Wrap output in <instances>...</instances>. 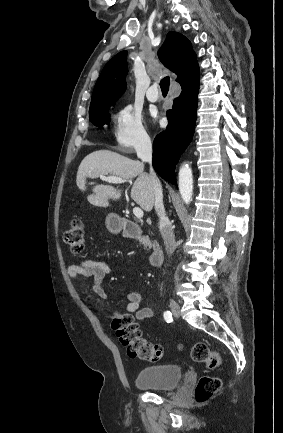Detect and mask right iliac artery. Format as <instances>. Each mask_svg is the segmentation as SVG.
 Masks as SVG:
<instances>
[{"label": "right iliac artery", "mask_w": 283, "mask_h": 433, "mask_svg": "<svg viewBox=\"0 0 283 433\" xmlns=\"http://www.w3.org/2000/svg\"><path fill=\"white\" fill-rule=\"evenodd\" d=\"M164 319L167 323L172 322L173 321L172 313L170 311L164 312Z\"/></svg>", "instance_id": "obj_1"}]
</instances>
